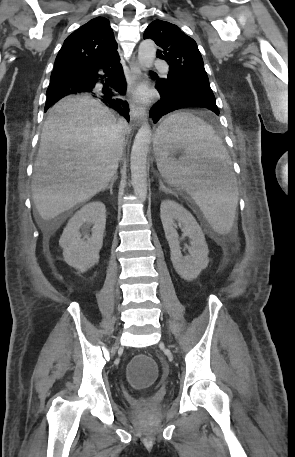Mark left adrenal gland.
<instances>
[{
    "label": "left adrenal gland",
    "mask_w": 295,
    "mask_h": 457,
    "mask_svg": "<svg viewBox=\"0 0 295 457\" xmlns=\"http://www.w3.org/2000/svg\"><path fill=\"white\" fill-rule=\"evenodd\" d=\"M160 187L159 190L163 191L164 193H170V191L164 186L163 182L160 180L159 181Z\"/></svg>",
    "instance_id": "left-adrenal-gland-1"
}]
</instances>
